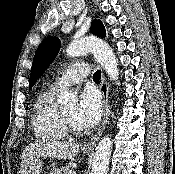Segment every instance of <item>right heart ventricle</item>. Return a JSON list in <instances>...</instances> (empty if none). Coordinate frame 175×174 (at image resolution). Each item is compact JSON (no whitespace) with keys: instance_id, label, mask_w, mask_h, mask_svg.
Wrapping results in <instances>:
<instances>
[{"instance_id":"obj_1","label":"right heart ventricle","mask_w":175,"mask_h":174,"mask_svg":"<svg viewBox=\"0 0 175 174\" xmlns=\"http://www.w3.org/2000/svg\"><path fill=\"white\" fill-rule=\"evenodd\" d=\"M60 110L55 102V91L41 92L35 100L32 114V129L35 136L45 141H58L66 136Z\"/></svg>"}]
</instances>
